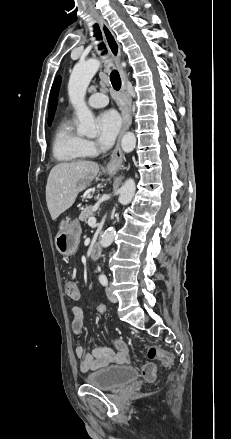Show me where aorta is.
Wrapping results in <instances>:
<instances>
[{"label": "aorta", "instance_id": "obj_1", "mask_svg": "<svg viewBox=\"0 0 231 439\" xmlns=\"http://www.w3.org/2000/svg\"><path fill=\"white\" fill-rule=\"evenodd\" d=\"M124 65V63H123ZM100 61L98 59H89L84 62L77 63L70 75L68 83L69 100L76 110L79 125L77 132L80 135L94 137L97 129L94 122V116L85 102L86 90L95 73L98 71ZM136 145V137L134 133L127 132L121 141L122 150L126 153L133 151ZM135 182L133 179H127L120 189L119 203L127 205L131 202L135 194ZM116 235V230L109 227L101 237V246L109 247Z\"/></svg>", "mask_w": 231, "mask_h": 439}]
</instances>
